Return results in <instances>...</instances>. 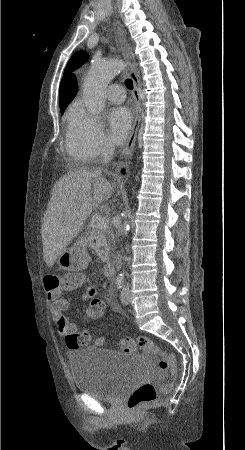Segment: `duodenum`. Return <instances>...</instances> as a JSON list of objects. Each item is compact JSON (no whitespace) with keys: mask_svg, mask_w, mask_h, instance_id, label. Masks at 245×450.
I'll return each mask as SVG.
<instances>
[{"mask_svg":"<svg viewBox=\"0 0 245 450\" xmlns=\"http://www.w3.org/2000/svg\"><path fill=\"white\" fill-rule=\"evenodd\" d=\"M116 272V264L114 262H110L105 267V274L111 278H114Z\"/></svg>","mask_w":245,"mask_h":450,"instance_id":"1","label":"duodenum"}]
</instances>
